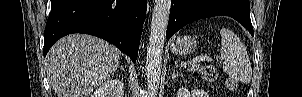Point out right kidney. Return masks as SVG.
Instances as JSON below:
<instances>
[{
  "mask_svg": "<svg viewBox=\"0 0 302 97\" xmlns=\"http://www.w3.org/2000/svg\"><path fill=\"white\" fill-rule=\"evenodd\" d=\"M109 92H114L117 97H123L124 87L123 82L119 79H110L99 87L91 97H106Z\"/></svg>",
  "mask_w": 302,
  "mask_h": 97,
  "instance_id": "1",
  "label": "right kidney"
}]
</instances>
